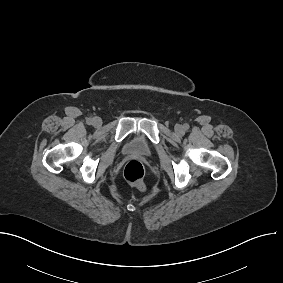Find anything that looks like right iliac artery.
Listing matches in <instances>:
<instances>
[{"mask_svg": "<svg viewBox=\"0 0 283 283\" xmlns=\"http://www.w3.org/2000/svg\"><path fill=\"white\" fill-rule=\"evenodd\" d=\"M87 123H88V124H92V123H93V119H92V118H88V119H87Z\"/></svg>", "mask_w": 283, "mask_h": 283, "instance_id": "82829eb1", "label": "right iliac artery"}]
</instances>
